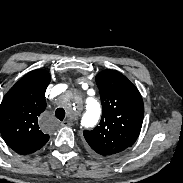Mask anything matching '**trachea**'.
<instances>
[{
  "instance_id": "obj_1",
  "label": "trachea",
  "mask_w": 183,
  "mask_h": 183,
  "mask_svg": "<svg viewBox=\"0 0 183 183\" xmlns=\"http://www.w3.org/2000/svg\"><path fill=\"white\" fill-rule=\"evenodd\" d=\"M55 115H56V117H57L59 120L63 121L64 118H65V110L62 109V108H58V109H56V111H55Z\"/></svg>"
}]
</instances>
